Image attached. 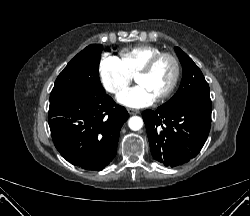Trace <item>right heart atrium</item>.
I'll use <instances>...</instances> for the list:
<instances>
[{"instance_id":"obj_1","label":"right heart atrium","mask_w":250,"mask_h":216,"mask_svg":"<svg viewBox=\"0 0 250 216\" xmlns=\"http://www.w3.org/2000/svg\"><path fill=\"white\" fill-rule=\"evenodd\" d=\"M99 75L106 91L116 96L123 93L133 80V76L124 68L119 58L112 55L101 58Z\"/></svg>"}]
</instances>
